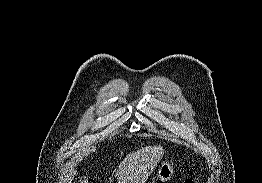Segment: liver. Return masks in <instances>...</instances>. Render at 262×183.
<instances>
[{"label":"liver","instance_id":"obj_1","mask_svg":"<svg viewBox=\"0 0 262 183\" xmlns=\"http://www.w3.org/2000/svg\"><path fill=\"white\" fill-rule=\"evenodd\" d=\"M163 155L161 145L146 146L127 154L116 172L118 183H145Z\"/></svg>","mask_w":262,"mask_h":183}]
</instances>
